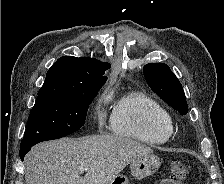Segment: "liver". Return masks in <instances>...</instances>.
Wrapping results in <instances>:
<instances>
[{
	"label": "liver",
	"mask_w": 224,
	"mask_h": 184,
	"mask_svg": "<svg viewBox=\"0 0 224 184\" xmlns=\"http://www.w3.org/2000/svg\"><path fill=\"white\" fill-rule=\"evenodd\" d=\"M153 150L116 135L62 138L34 146L25 156L26 184H106ZM87 168L84 177L80 167Z\"/></svg>",
	"instance_id": "obj_1"
}]
</instances>
